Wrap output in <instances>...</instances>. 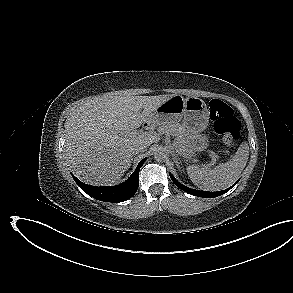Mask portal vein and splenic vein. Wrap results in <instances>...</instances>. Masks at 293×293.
<instances>
[{"label": "portal vein and splenic vein", "instance_id": "1", "mask_svg": "<svg viewBox=\"0 0 293 293\" xmlns=\"http://www.w3.org/2000/svg\"><path fill=\"white\" fill-rule=\"evenodd\" d=\"M177 152L180 153V151L178 149H177ZM210 156H211V160H212L211 163H210V165L216 164V162L219 160V156L216 155L214 152H211Z\"/></svg>", "mask_w": 293, "mask_h": 293}]
</instances>
